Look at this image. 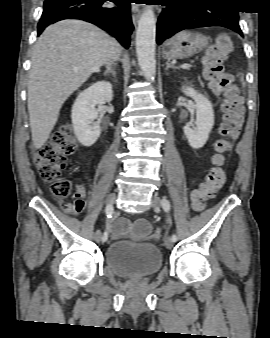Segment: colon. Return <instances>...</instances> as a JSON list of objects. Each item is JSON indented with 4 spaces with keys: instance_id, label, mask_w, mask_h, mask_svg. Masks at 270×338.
I'll list each match as a JSON object with an SVG mask.
<instances>
[{
    "instance_id": "obj_1",
    "label": "colon",
    "mask_w": 270,
    "mask_h": 338,
    "mask_svg": "<svg viewBox=\"0 0 270 338\" xmlns=\"http://www.w3.org/2000/svg\"><path fill=\"white\" fill-rule=\"evenodd\" d=\"M233 50L229 36L221 35L204 48L201 56L202 75L208 80L213 91L223 96V120L220 127L221 138L215 142L216 153L212 161L214 166L206 179L191 193L192 209L201 213L206 202L225 184L226 161L223 156L228 152L233 140L239 133L242 124L243 109L238 99L237 87L231 76L224 72L222 63ZM76 138L70 130L55 133L49 142L44 144L35 154V165L41 178L49 184L51 193L65 199L71 195L72 185L64 177L67 158L76 149ZM62 208L72 216L79 215L84 208L83 199L62 203ZM160 232L153 234L156 240Z\"/></svg>"
}]
</instances>
